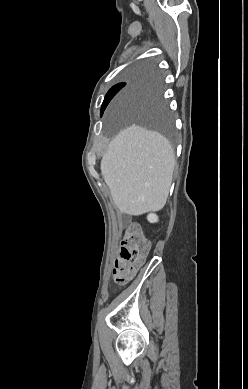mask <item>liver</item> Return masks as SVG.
I'll use <instances>...</instances> for the list:
<instances>
[{"label": "liver", "mask_w": 248, "mask_h": 389, "mask_svg": "<svg viewBox=\"0 0 248 389\" xmlns=\"http://www.w3.org/2000/svg\"><path fill=\"white\" fill-rule=\"evenodd\" d=\"M129 91L118 99L125 101ZM175 166V152L161 134L137 125L122 130L101 160V174L122 213L142 215L166 204Z\"/></svg>", "instance_id": "6515ba94"}]
</instances>
